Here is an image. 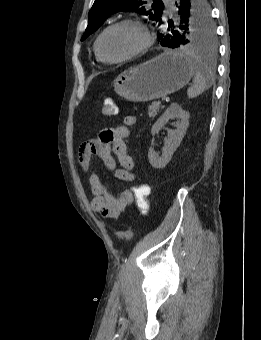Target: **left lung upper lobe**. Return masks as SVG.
<instances>
[{
	"instance_id": "left-lung-upper-lobe-1",
	"label": "left lung upper lobe",
	"mask_w": 261,
	"mask_h": 340,
	"mask_svg": "<svg viewBox=\"0 0 261 340\" xmlns=\"http://www.w3.org/2000/svg\"><path fill=\"white\" fill-rule=\"evenodd\" d=\"M142 0H95L89 11L88 26L81 41L94 33L102 23L113 13L118 11L136 12L141 15H149V19L163 24L160 19L164 8L161 0H153L152 9H147ZM166 31L158 32V41L168 35L175 36L178 47L184 46L205 52L216 50V37L214 24L210 17V10L206 0H191V6L186 15L174 22H168Z\"/></svg>"
}]
</instances>
